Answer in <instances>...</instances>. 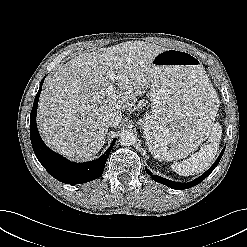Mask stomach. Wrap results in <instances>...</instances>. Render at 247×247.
Returning a JSON list of instances; mask_svg holds the SVG:
<instances>
[{
    "mask_svg": "<svg viewBox=\"0 0 247 247\" xmlns=\"http://www.w3.org/2000/svg\"><path fill=\"white\" fill-rule=\"evenodd\" d=\"M152 69V112L140 125L155 158L182 159L208 136L217 95L200 60L187 51H162L153 59Z\"/></svg>",
    "mask_w": 247,
    "mask_h": 247,
    "instance_id": "1",
    "label": "stomach"
}]
</instances>
